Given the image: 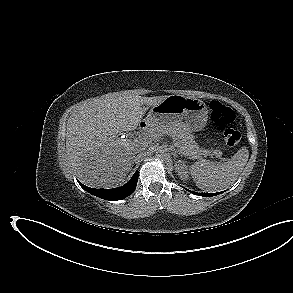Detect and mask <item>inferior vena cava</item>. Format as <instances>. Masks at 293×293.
Masks as SVG:
<instances>
[{"label":"inferior vena cava","mask_w":293,"mask_h":293,"mask_svg":"<svg viewBox=\"0 0 293 293\" xmlns=\"http://www.w3.org/2000/svg\"><path fill=\"white\" fill-rule=\"evenodd\" d=\"M148 147L147 143L144 142H138L135 146H134V151L135 153H140L145 151V149Z\"/></svg>","instance_id":"inferior-vena-cava-1"}]
</instances>
